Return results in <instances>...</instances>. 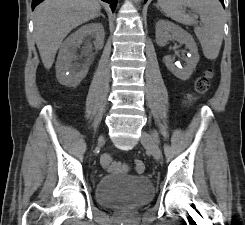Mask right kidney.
<instances>
[{
  "label": "right kidney",
  "mask_w": 245,
  "mask_h": 225,
  "mask_svg": "<svg viewBox=\"0 0 245 225\" xmlns=\"http://www.w3.org/2000/svg\"><path fill=\"white\" fill-rule=\"evenodd\" d=\"M87 37L94 38L93 44L96 49L103 48L105 37L103 25L101 23L84 25L61 44L56 62V77L60 84L75 87L86 77L89 64H78L73 61L77 59V48ZM87 46H91L89 40Z\"/></svg>",
  "instance_id": "obj_1"
}]
</instances>
